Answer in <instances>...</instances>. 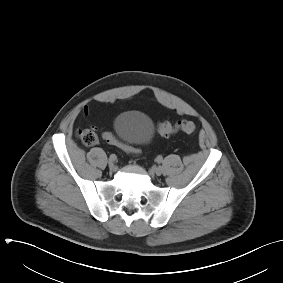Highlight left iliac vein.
<instances>
[{
  "mask_svg": "<svg viewBox=\"0 0 283 283\" xmlns=\"http://www.w3.org/2000/svg\"><path fill=\"white\" fill-rule=\"evenodd\" d=\"M153 172L157 175L160 176L163 173V169L160 166L154 167Z\"/></svg>",
  "mask_w": 283,
  "mask_h": 283,
  "instance_id": "4c4485c4",
  "label": "left iliac vein"
}]
</instances>
